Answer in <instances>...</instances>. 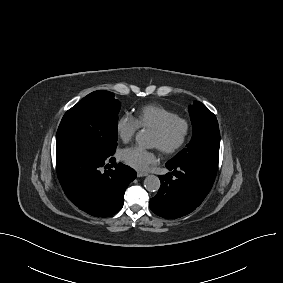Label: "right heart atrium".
Segmentation results:
<instances>
[{
	"mask_svg": "<svg viewBox=\"0 0 283 283\" xmlns=\"http://www.w3.org/2000/svg\"><path fill=\"white\" fill-rule=\"evenodd\" d=\"M138 128L136 119L128 114L120 116L116 121L117 136L124 143L129 142L134 137Z\"/></svg>",
	"mask_w": 283,
	"mask_h": 283,
	"instance_id": "right-heart-atrium-1",
	"label": "right heart atrium"
}]
</instances>
